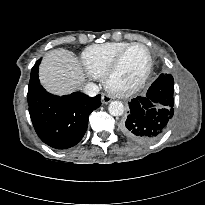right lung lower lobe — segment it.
Returning a JSON list of instances; mask_svg holds the SVG:
<instances>
[{
    "label": "right lung lower lobe",
    "mask_w": 205,
    "mask_h": 205,
    "mask_svg": "<svg viewBox=\"0 0 205 205\" xmlns=\"http://www.w3.org/2000/svg\"><path fill=\"white\" fill-rule=\"evenodd\" d=\"M31 70L28 87V105L31 121L39 138L56 149L76 145L88 127L90 113L101 105V95L88 97L74 92L66 96L52 95L40 85L38 67Z\"/></svg>",
    "instance_id": "1"
}]
</instances>
